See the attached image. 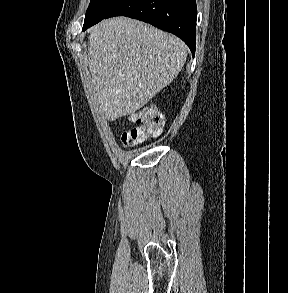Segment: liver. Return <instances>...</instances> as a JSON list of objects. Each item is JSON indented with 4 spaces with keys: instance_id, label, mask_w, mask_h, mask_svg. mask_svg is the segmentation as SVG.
<instances>
[{
    "instance_id": "1",
    "label": "liver",
    "mask_w": 288,
    "mask_h": 293,
    "mask_svg": "<svg viewBox=\"0 0 288 293\" xmlns=\"http://www.w3.org/2000/svg\"><path fill=\"white\" fill-rule=\"evenodd\" d=\"M89 31L92 86L110 121L147 104L186 61L187 46L181 39L138 20L110 18Z\"/></svg>"
}]
</instances>
